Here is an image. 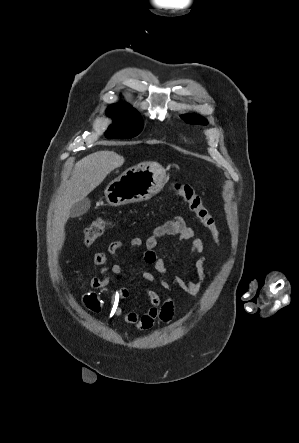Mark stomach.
Instances as JSON below:
<instances>
[{
	"label": "stomach",
	"instance_id": "0dacf381",
	"mask_svg": "<svg viewBox=\"0 0 299 443\" xmlns=\"http://www.w3.org/2000/svg\"><path fill=\"white\" fill-rule=\"evenodd\" d=\"M168 177L157 163H143L131 167L106 187L105 198L112 206L149 200L160 192Z\"/></svg>",
	"mask_w": 299,
	"mask_h": 443
}]
</instances>
